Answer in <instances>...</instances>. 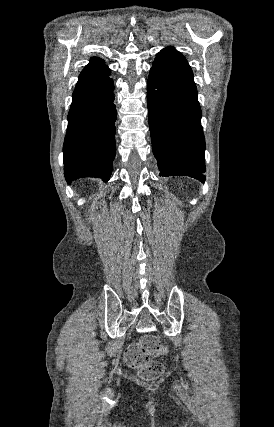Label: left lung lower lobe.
I'll use <instances>...</instances> for the list:
<instances>
[{
    "label": "left lung lower lobe",
    "instance_id": "0a47b994",
    "mask_svg": "<svg viewBox=\"0 0 274 427\" xmlns=\"http://www.w3.org/2000/svg\"><path fill=\"white\" fill-rule=\"evenodd\" d=\"M147 102L152 149L160 176L205 181V139L192 70L174 48L160 51L150 70Z\"/></svg>",
    "mask_w": 274,
    "mask_h": 427
}]
</instances>
